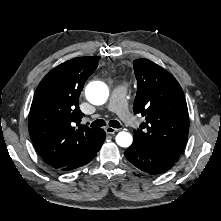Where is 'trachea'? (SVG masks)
Masks as SVG:
<instances>
[{"instance_id": "trachea-1", "label": "trachea", "mask_w": 221, "mask_h": 221, "mask_svg": "<svg viewBox=\"0 0 221 221\" xmlns=\"http://www.w3.org/2000/svg\"><path fill=\"white\" fill-rule=\"evenodd\" d=\"M106 125V122L102 119H98V120H95L92 124H91V127H95V128H98V127H102V126H105ZM109 126L113 127V128H121V125L118 121L116 120H111L109 121Z\"/></svg>"}]
</instances>
